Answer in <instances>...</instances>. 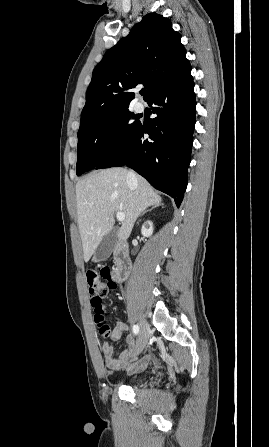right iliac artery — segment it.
Instances as JSON below:
<instances>
[{
	"instance_id": "right-iliac-artery-1",
	"label": "right iliac artery",
	"mask_w": 269,
	"mask_h": 447,
	"mask_svg": "<svg viewBox=\"0 0 269 447\" xmlns=\"http://www.w3.org/2000/svg\"><path fill=\"white\" fill-rule=\"evenodd\" d=\"M133 332H134L135 335L138 334V332H139V326L138 325H133Z\"/></svg>"
}]
</instances>
